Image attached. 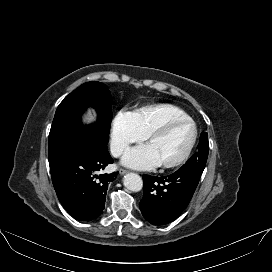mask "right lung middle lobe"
Wrapping results in <instances>:
<instances>
[{"label": "right lung middle lobe", "instance_id": "obj_1", "mask_svg": "<svg viewBox=\"0 0 272 272\" xmlns=\"http://www.w3.org/2000/svg\"><path fill=\"white\" fill-rule=\"evenodd\" d=\"M112 99L107 86L101 82L82 84L64 98L58 106L49 134L48 160L59 157L83 133L96 141L108 142L112 120ZM97 111V121L84 126L81 115L88 108Z\"/></svg>", "mask_w": 272, "mask_h": 272}]
</instances>
